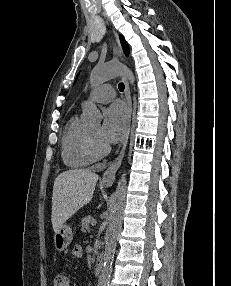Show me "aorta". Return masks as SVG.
<instances>
[{
	"instance_id": "aorta-1",
	"label": "aorta",
	"mask_w": 231,
	"mask_h": 286,
	"mask_svg": "<svg viewBox=\"0 0 231 286\" xmlns=\"http://www.w3.org/2000/svg\"><path fill=\"white\" fill-rule=\"evenodd\" d=\"M118 76L125 77L129 80L131 84H133L135 81L134 74L129 68L119 63L110 62L104 65H97L96 67H94L90 74V82L93 86H97L107 81L108 79ZM82 119L83 122L88 125L97 126L101 122V113L97 109L95 104L89 103L83 110ZM126 188L127 181L125 174H123L118 181L116 191L113 196L111 220L109 223V227L106 231L105 252L103 257V266L100 279L101 286H109L112 263L116 249L117 236L120 232L123 221Z\"/></svg>"
}]
</instances>
